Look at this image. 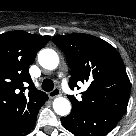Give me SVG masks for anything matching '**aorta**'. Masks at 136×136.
<instances>
[{
    "label": "aorta",
    "mask_w": 136,
    "mask_h": 136,
    "mask_svg": "<svg viewBox=\"0 0 136 136\" xmlns=\"http://www.w3.org/2000/svg\"><path fill=\"white\" fill-rule=\"evenodd\" d=\"M39 64L48 70L56 69L59 64L58 54L52 49H42L38 54ZM55 113L66 116L71 111L70 101L64 97H58L53 102Z\"/></svg>",
    "instance_id": "obj_1"
}]
</instances>
